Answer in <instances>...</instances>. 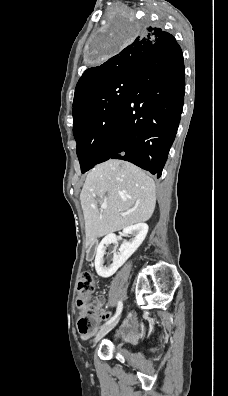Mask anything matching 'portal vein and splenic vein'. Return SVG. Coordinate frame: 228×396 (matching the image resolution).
Instances as JSON below:
<instances>
[{"instance_id": "portal-vein-and-splenic-vein-1", "label": "portal vein and splenic vein", "mask_w": 228, "mask_h": 396, "mask_svg": "<svg viewBox=\"0 0 228 396\" xmlns=\"http://www.w3.org/2000/svg\"><path fill=\"white\" fill-rule=\"evenodd\" d=\"M107 208L106 204H101V210H105ZM122 216H124V213H120Z\"/></svg>"}]
</instances>
